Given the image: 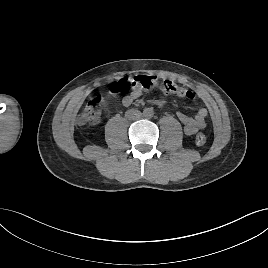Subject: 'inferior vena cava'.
I'll list each match as a JSON object with an SVG mask.
<instances>
[{
  "label": "inferior vena cava",
  "instance_id": "602c4592",
  "mask_svg": "<svg viewBox=\"0 0 268 268\" xmlns=\"http://www.w3.org/2000/svg\"><path fill=\"white\" fill-rule=\"evenodd\" d=\"M132 112L135 113V116H133V117L130 116V113H132ZM126 116H127V118L138 119V118H140L141 113L139 111H136V110L135 111L130 110V111H128Z\"/></svg>",
  "mask_w": 268,
  "mask_h": 268
}]
</instances>
